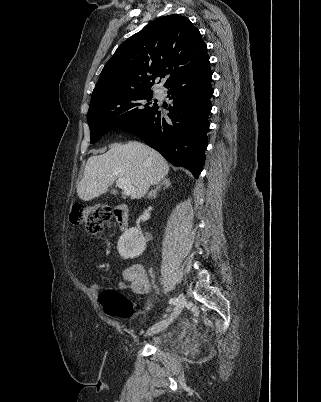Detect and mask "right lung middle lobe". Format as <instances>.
Returning <instances> with one entry per match:
<instances>
[{"mask_svg": "<svg viewBox=\"0 0 321 402\" xmlns=\"http://www.w3.org/2000/svg\"><path fill=\"white\" fill-rule=\"evenodd\" d=\"M151 99L152 91H141L90 106L87 119L91 143L112 129L136 123L151 114L158 107Z\"/></svg>", "mask_w": 321, "mask_h": 402, "instance_id": "dd1d6c3e", "label": "right lung middle lobe"}]
</instances>
